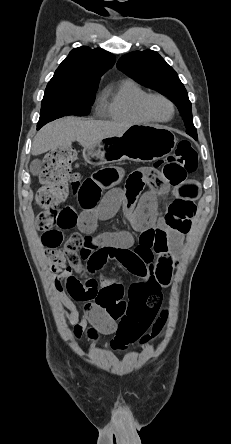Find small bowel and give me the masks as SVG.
I'll use <instances>...</instances> for the list:
<instances>
[{
    "mask_svg": "<svg viewBox=\"0 0 231 444\" xmlns=\"http://www.w3.org/2000/svg\"><path fill=\"white\" fill-rule=\"evenodd\" d=\"M125 171L121 167L107 166L84 180L77 192L81 212L75 215L79 233H73L66 241V253L80 251L86 261L83 269L84 296L80 299L83 311L79 312L65 293V258L58 250L62 232H46L43 242L48 251L47 264L63 313L73 328L76 338L83 334L96 341L101 334H112L118 321L125 313L128 301L125 289L119 283L102 284L95 274L107 261L113 260L137 278L129 296L147 291L153 283L161 288L170 284L176 265V255L183 246L184 234L169 226V206L161 224L156 227L157 199L168 192L166 181L156 171L136 176L132 173L123 189L118 185ZM149 190L141 198L145 186ZM103 190H108L102 195ZM200 188L197 182L188 181L183 188L174 191L175 201L194 203ZM122 210L132 228L140 233L139 244L133 247V237L128 231H98L100 221L108 219Z\"/></svg>",
    "mask_w": 231,
    "mask_h": 444,
    "instance_id": "obj_1",
    "label": "small bowel"
}]
</instances>
